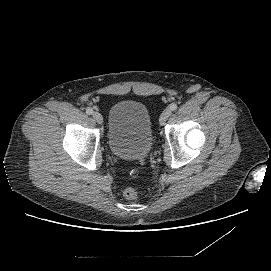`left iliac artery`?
Wrapping results in <instances>:
<instances>
[{
  "instance_id": "1",
  "label": "left iliac artery",
  "mask_w": 271,
  "mask_h": 271,
  "mask_svg": "<svg viewBox=\"0 0 271 271\" xmlns=\"http://www.w3.org/2000/svg\"><path fill=\"white\" fill-rule=\"evenodd\" d=\"M169 108H170L171 111H175V110L178 108V106H177L176 103H172V104L169 106Z\"/></svg>"
}]
</instances>
